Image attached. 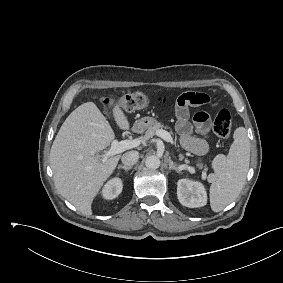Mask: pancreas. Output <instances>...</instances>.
I'll use <instances>...</instances> for the list:
<instances>
[{
    "instance_id": "cf45deb5",
    "label": "pancreas",
    "mask_w": 283,
    "mask_h": 283,
    "mask_svg": "<svg viewBox=\"0 0 283 283\" xmlns=\"http://www.w3.org/2000/svg\"><path fill=\"white\" fill-rule=\"evenodd\" d=\"M163 128H168L166 126H164L163 124H161L160 122H156L152 127H150L149 129H147L146 131V139H149L151 138L153 135H155L157 133L158 130H161ZM181 157H183V155H181ZM185 163L188 164L189 161L186 159L185 160ZM197 167L199 169H203V173H202V178L203 179H207L208 181H211L212 178L211 176H207L206 175V172H207V167L206 166H203L201 164H198Z\"/></svg>"
}]
</instances>
